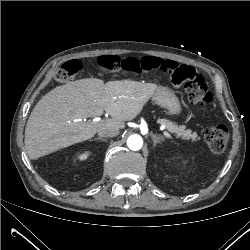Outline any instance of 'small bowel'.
Returning a JSON list of instances; mask_svg holds the SVG:
<instances>
[{"mask_svg":"<svg viewBox=\"0 0 250 250\" xmlns=\"http://www.w3.org/2000/svg\"><path fill=\"white\" fill-rule=\"evenodd\" d=\"M150 59H155L156 61H166L168 62V67L170 70H173L177 67V65L173 62V61H170V60H165V59H161V58H156V57H149Z\"/></svg>","mask_w":250,"mask_h":250,"instance_id":"c3829d8e","label":"small bowel"}]
</instances>
